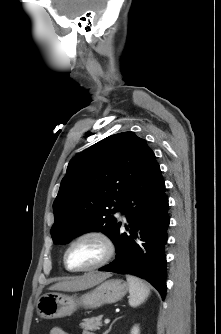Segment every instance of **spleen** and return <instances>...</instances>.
Returning <instances> with one entry per match:
<instances>
[{
    "mask_svg": "<svg viewBox=\"0 0 221 334\" xmlns=\"http://www.w3.org/2000/svg\"><path fill=\"white\" fill-rule=\"evenodd\" d=\"M126 280L129 287V305L137 307L145 302L150 295V288L148 285L138 277L127 275Z\"/></svg>",
    "mask_w": 221,
    "mask_h": 334,
    "instance_id": "spleen-1",
    "label": "spleen"
}]
</instances>
